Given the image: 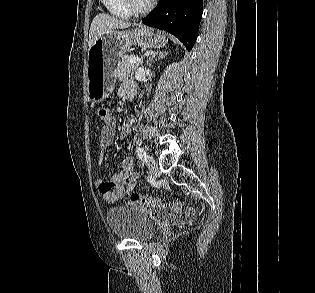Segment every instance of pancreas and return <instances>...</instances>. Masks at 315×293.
Returning a JSON list of instances; mask_svg holds the SVG:
<instances>
[{
    "mask_svg": "<svg viewBox=\"0 0 315 293\" xmlns=\"http://www.w3.org/2000/svg\"><path fill=\"white\" fill-rule=\"evenodd\" d=\"M133 56L124 55L119 60V66L117 69L118 79L124 81L129 77H133L134 72L138 68L137 64L129 63L130 58Z\"/></svg>",
    "mask_w": 315,
    "mask_h": 293,
    "instance_id": "cf45deb5",
    "label": "pancreas"
}]
</instances>
